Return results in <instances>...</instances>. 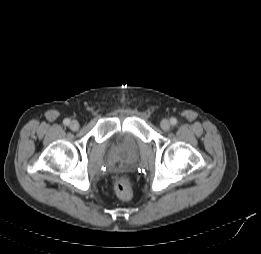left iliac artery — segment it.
<instances>
[{
  "mask_svg": "<svg viewBox=\"0 0 261 254\" xmlns=\"http://www.w3.org/2000/svg\"><path fill=\"white\" fill-rule=\"evenodd\" d=\"M170 122L172 125H176L177 124V119L176 118H171Z\"/></svg>",
  "mask_w": 261,
  "mask_h": 254,
  "instance_id": "1",
  "label": "left iliac artery"
}]
</instances>
